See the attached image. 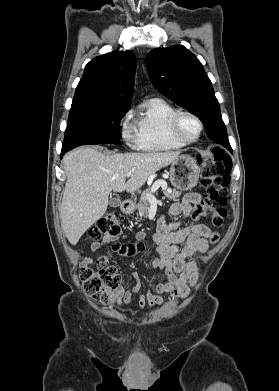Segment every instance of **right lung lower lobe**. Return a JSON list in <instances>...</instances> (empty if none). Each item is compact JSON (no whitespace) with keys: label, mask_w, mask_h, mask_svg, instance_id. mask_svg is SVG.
Masks as SVG:
<instances>
[{"label":"right lung lower lobe","mask_w":279,"mask_h":391,"mask_svg":"<svg viewBox=\"0 0 279 391\" xmlns=\"http://www.w3.org/2000/svg\"><path fill=\"white\" fill-rule=\"evenodd\" d=\"M105 142H108V143H114V142H111V141H105ZM114 144H117V143H114ZM67 152V150H62L61 151V158L62 156Z\"/></svg>","instance_id":"1"}]
</instances>
